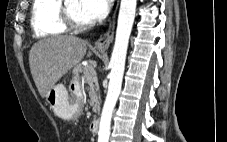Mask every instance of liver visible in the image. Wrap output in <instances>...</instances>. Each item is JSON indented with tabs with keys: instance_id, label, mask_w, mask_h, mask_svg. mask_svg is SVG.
I'll list each match as a JSON object with an SVG mask.
<instances>
[{
	"instance_id": "6515ba94",
	"label": "liver",
	"mask_w": 227,
	"mask_h": 142,
	"mask_svg": "<svg viewBox=\"0 0 227 142\" xmlns=\"http://www.w3.org/2000/svg\"><path fill=\"white\" fill-rule=\"evenodd\" d=\"M86 50V40L68 35L47 37L32 46L29 65L42 98L64 74L81 62ZM88 56H91V52Z\"/></svg>"
}]
</instances>
